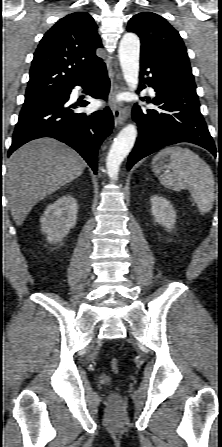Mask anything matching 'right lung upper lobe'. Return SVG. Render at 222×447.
Returning a JSON list of instances; mask_svg holds the SVG:
<instances>
[{"mask_svg":"<svg viewBox=\"0 0 222 447\" xmlns=\"http://www.w3.org/2000/svg\"><path fill=\"white\" fill-rule=\"evenodd\" d=\"M100 47L97 25L88 13L60 19L34 53L25 97L64 93L82 82L103 64L95 54Z\"/></svg>","mask_w":222,"mask_h":447,"instance_id":"obj_1","label":"right lung upper lobe"}]
</instances>
